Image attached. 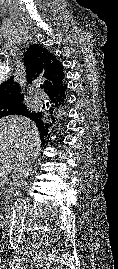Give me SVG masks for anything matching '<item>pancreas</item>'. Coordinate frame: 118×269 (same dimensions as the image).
<instances>
[{
	"label": "pancreas",
	"instance_id": "cf45deb5",
	"mask_svg": "<svg viewBox=\"0 0 118 269\" xmlns=\"http://www.w3.org/2000/svg\"><path fill=\"white\" fill-rule=\"evenodd\" d=\"M12 184L9 183V181L7 179H0V189L4 190L5 193L8 194L12 191ZM9 207V203L7 202L5 204V208Z\"/></svg>",
	"mask_w": 118,
	"mask_h": 269
}]
</instances>
